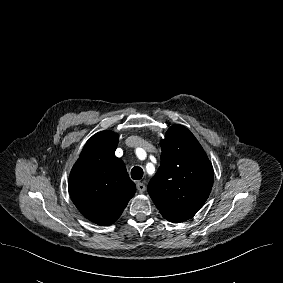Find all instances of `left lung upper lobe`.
I'll list each match as a JSON object with an SVG mask.
<instances>
[{
  "instance_id": "1",
  "label": "left lung upper lobe",
  "mask_w": 283,
  "mask_h": 283,
  "mask_svg": "<svg viewBox=\"0 0 283 283\" xmlns=\"http://www.w3.org/2000/svg\"><path fill=\"white\" fill-rule=\"evenodd\" d=\"M160 145L161 164L148 184V193L164 218L183 222L207 200L213 167L197 139L182 125L171 126Z\"/></svg>"
}]
</instances>
